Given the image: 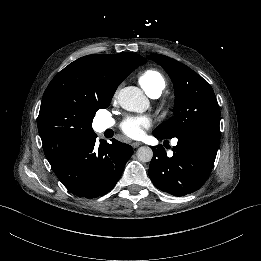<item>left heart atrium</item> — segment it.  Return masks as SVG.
Here are the masks:
<instances>
[{
	"mask_svg": "<svg viewBox=\"0 0 261 261\" xmlns=\"http://www.w3.org/2000/svg\"><path fill=\"white\" fill-rule=\"evenodd\" d=\"M151 126V122L146 117L128 118L122 125V132L130 139H140L147 129Z\"/></svg>",
	"mask_w": 261,
	"mask_h": 261,
	"instance_id": "39dd6f15",
	"label": "left heart atrium"
}]
</instances>
